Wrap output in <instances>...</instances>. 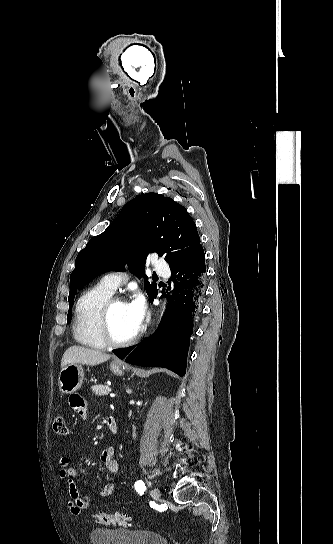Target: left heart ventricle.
<instances>
[{
	"label": "left heart ventricle",
	"instance_id": "b2bd125f",
	"mask_svg": "<svg viewBox=\"0 0 333 544\" xmlns=\"http://www.w3.org/2000/svg\"><path fill=\"white\" fill-rule=\"evenodd\" d=\"M110 327L116 339L124 340L138 330L131 319L126 303H117L110 313Z\"/></svg>",
	"mask_w": 333,
	"mask_h": 544
}]
</instances>
